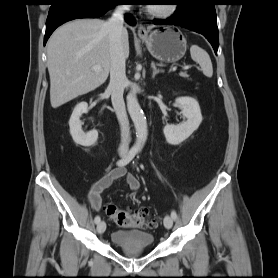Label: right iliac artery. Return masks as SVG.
<instances>
[{
	"label": "right iliac artery",
	"mask_w": 278,
	"mask_h": 278,
	"mask_svg": "<svg viewBox=\"0 0 278 278\" xmlns=\"http://www.w3.org/2000/svg\"><path fill=\"white\" fill-rule=\"evenodd\" d=\"M136 153H137V150L132 148L124 158L120 159L117 162V165L118 166H125V165H127L135 157ZM94 222L96 224H98L100 222V217L96 216L95 219H94Z\"/></svg>",
	"instance_id": "82829eb1"
}]
</instances>
